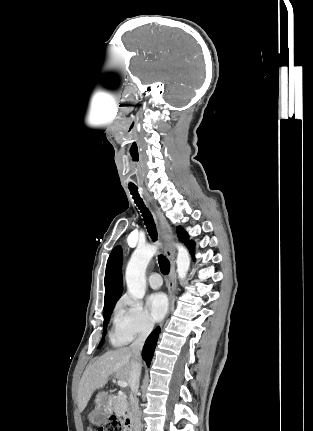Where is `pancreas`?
Returning a JSON list of instances; mask_svg holds the SVG:
<instances>
[{"label": "pancreas", "instance_id": "cf45deb5", "mask_svg": "<svg viewBox=\"0 0 313 431\" xmlns=\"http://www.w3.org/2000/svg\"><path fill=\"white\" fill-rule=\"evenodd\" d=\"M111 407L118 416H125V413L127 412V409H128L125 396L123 394L119 396H115L112 399Z\"/></svg>", "mask_w": 313, "mask_h": 431}]
</instances>
